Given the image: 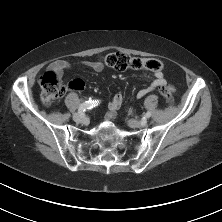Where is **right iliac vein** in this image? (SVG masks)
Returning a JSON list of instances; mask_svg holds the SVG:
<instances>
[{"label": "right iliac vein", "mask_w": 222, "mask_h": 222, "mask_svg": "<svg viewBox=\"0 0 222 222\" xmlns=\"http://www.w3.org/2000/svg\"><path fill=\"white\" fill-rule=\"evenodd\" d=\"M73 119L74 121L78 122V123H83L87 121V118L84 114H80V113H75L73 115Z\"/></svg>", "instance_id": "obj_1"}]
</instances>
